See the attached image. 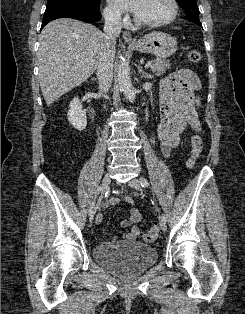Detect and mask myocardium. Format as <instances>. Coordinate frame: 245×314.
Masks as SVG:
<instances>
[{
  "label": "myocardium",
  "mask_w": 245,
  "mask_h": 314,
  "mask_svg": "<svg viewBox=\"0 0 245 314\" xmlns=\"http://www.w3.org/2000/svg\"><path fill=\"white\" fill-rule=\"evenodd\" d=\"M169 2L171 5V11L166 17L156 20V21H143L139 19L137 16H135L134 17L135 24L141 27L154 28V27H159V26L166 25L172 22L178 14L179 5H178L177 0H169Z\"/></svg>",
  "instance_id": "1"
}]
</instances>
